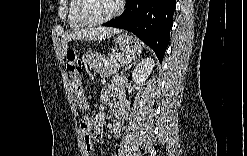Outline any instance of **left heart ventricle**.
Instances as JSON below:
<instances>
[{
  "label": "left heart ventricle",
  "instance_id": "left-heart-ventricle-1",
  "mask_svg": "<svg viewBox=\"0 0 247 156\" xmlns=\"http://www.w3.org/2000/svg\"><path fill=\"white\" fill-rule=\"evenodd\" d=\"M116 1H87L84 15L90 19H97L109 15L113 12Z\"/></svg>",
  "mask_w": 247,
  "mask_h": 156
}]
</instances>
